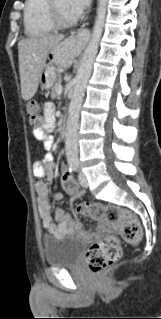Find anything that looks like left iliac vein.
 Here are the masks:
<instances>
[{"instance_id": "obj_1", "label": "left iliac vein", "mask_w": 161, "mask_h": 319, "mask_svg": "<svg viewBox=\"0 0 161 319\" xmlns=\"http://www.w3.org/2000/svg\"><path fill=\"white\" fill-rule=\"evenodd\" d=\"M78 178H79L80 185L84 188H87L89 184H88V180L86 176L83 173H80Z\"/></svg>"}]
</instances>
